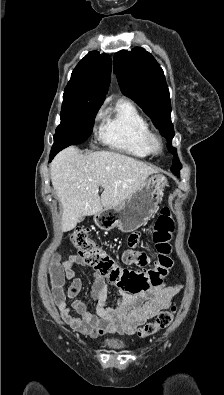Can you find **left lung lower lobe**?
Instances as JSON below:
<instances>
[{
	"mask_svg": "<svg viewBox=\"0 0 224 395\" xmlns=\"http://www.w3.org/2000/svg\"><path fill=\"white\" fill-rule=\"evenodd\" d=\"M181 168V166H179V168L177 170H175L173 173L177 174L179 176V169Z\"/></svg>",
	"mask_w": 224,
	"mask_h": 395,
	"instance_id": "0a47b994",
	"label": "left lung lower lobe"
}]
</instances>
